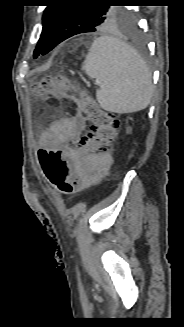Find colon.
Here are the masks:
<instances>
[{
  "label": "colon",
  "mask_w": 184,
  "mask_h": 327,
  "mask_svg": "<svg viewBox=\"0 0 184 327\" xmlns=\"http://www.w3.org/2000/svg\"><path fill=\"white\" fill-rule=\"evenodd\" d=\"M32 92L37 97L58 96L76 101L78 111L90 122L78 145L76 158L79 161L108 151L118 133L119 120L113 113L100 108L85 91L64 76H45L33 84ZM72 155L71 149H43L39 153L46 179L63 195L73 194L83 180V176L73 175Z\"/></svg>",
  "instance_id": "colon-1"
}]
</instances>
